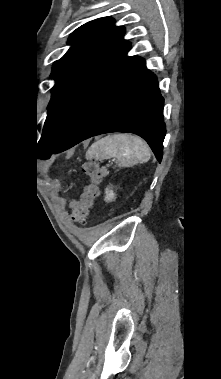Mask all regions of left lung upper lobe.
Returning <instances> with one entry per match:
<instances>
[{"mask_svg": "<svg viewBox=\"0 0 221 379\" xmlns=\"http://www.w3.org/2000/svg\"><path fill=\"white\" fill-rule=\"evenodd\" d=\"M125 30L114 19L103 17L87 22L69 37L67 53L53 65L56 80L38 156L47 159L62 144L81 117L137 58L128 57L130 43Z\"/></svg>", "mask_w": 221, "mask_h": 379, "instance_id": "left-lung-upper-lobe-1", "label": "left lung upper lobe"}]
</instances>
